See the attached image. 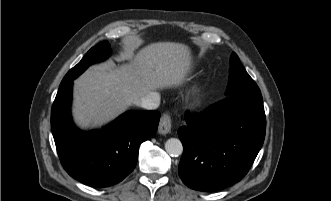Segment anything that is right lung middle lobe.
Wrapping results in <instances>:
<instances>
[{"label":"right lung middle lobe","mask_w":331,"mask_h":201,"mask_svg":"<svg viewBox=\"0 0 331 201\" xmlns=\"http://www.w3.org/2000/svg\"><path fill=\"white\" fill-rule=\"evenodd\" d=\"M110 54V45L107 41H103L96 46L92 47L82 60L73 67L63 78L60 86L77 78L82 72H84L91 64L105 60Z\"/></svg>","instance_id":"right-lung-middle-lobe-1"}]
</instances>
